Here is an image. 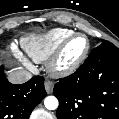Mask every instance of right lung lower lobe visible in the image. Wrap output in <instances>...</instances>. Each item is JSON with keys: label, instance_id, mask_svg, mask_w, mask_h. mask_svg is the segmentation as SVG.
<instances>
[{"label": "right lung lower lobe", "instance_id": "98d812e1", "mask_svg": "<svg viewBox=\"0 0 119 119\" xmlns=\"http://www.w3.org/2000/svg\"><path fill=\"white\" fill-rule=\"evenodd\" d=\"M45 96L43 77L35 76L21 85L11 84L0 66V119H29Z\"/></svg>", "mask_w": 119, "mask_h": 119}]
</instances>
